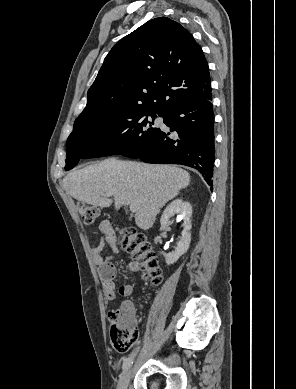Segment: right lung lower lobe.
I'll return each mask as SVG.
<instances>
[{"mask_svg":"<svg viewBox=\"0 0 296 389\" xmlns=\"http://www.w3.org/2000/svg\"><path fill=\"white\" fill-rule=\"evenodd\" d=\"M212 94L186 102L168 112L147 147L135 154L146 163L181 164L197 169L212 186L215 155ZM212 190V187H211Z\"/></svg>","mask_w":296,"mask_h":389,"instance_id":"right-lung-lower-lobe-1","label":"right lung lower lobe"}]
</instances>
